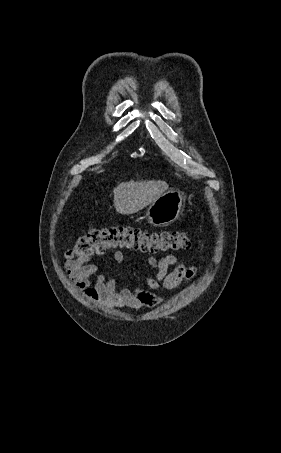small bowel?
<instances>
[{"instance_id": "c3829d8e", "label": "small bowel", "mask_w": 281, "mask_h": 453, "mask_svg": "<svg viewBox=\"0 0 281 453\" xmlns=\"http://www.w3.org/2000/svg\"><path fill=\"white\" fill-rule=\"evenodd\" d=\"M115 260L122 262L121 252L115 254ZM155 271L154 279L149 283L152 289L171 290L186 280L193 279L197 274L194 266L185 267L177 255H167L161 260L148 258ZM174 267L172 271L168 267ZM65 268L77 289L83 296L109 309H141L153 307L163 302V298L151 291L119 289L114 280L107 275L97 272L95 265L85 264L79 258H72L65 262Z\"/></svg>"}]
</instances>
